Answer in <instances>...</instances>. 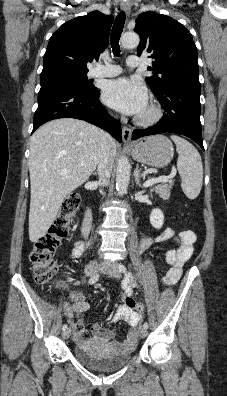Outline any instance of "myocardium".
<instances>
[{
  "instance_id": "myocardium-1",
  "label": "myocardium",
  "mask_w": 227,
  "mask_h": 396,
  "mask_svg": "<svg viewBox=\"0 0 227 396\" xmlns=\"http://www.w3.org/2000/svg\"><path fill=\"white\" fill-rule=\"evenodd\" d=\"M163 116L161 107L156 103H150L147 106V112L137 116L135 122L140 126H152L159 122Z\"/></svg>"
}]
</instances>
